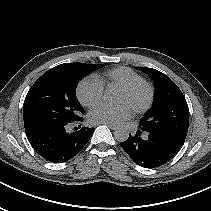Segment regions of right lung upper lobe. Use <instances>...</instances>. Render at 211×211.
I'll return each mask as SVG.
<instances>
[{
	"mask_svg": "<svg viewBox=\"0 0 211 211\" xmlns=\"http://www.w3.org/2000/svg\"><path fill=\"white\" fill-rule=\"evenodd\" d=\"M65 64H66V63H64V64H60V65H58V66L53 67L52 69H55V68H60V67L64 66Z\"/></svg>",
	"mask_w": 211,
	"mask_h": 211,
	"instance_id": "cb5924a9",
	"label": "right lung upper lobe"
}]
</instances>
